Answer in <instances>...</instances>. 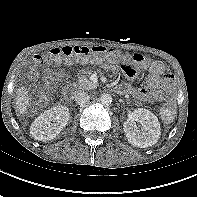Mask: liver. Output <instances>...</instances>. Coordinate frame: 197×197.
<instances>
[{"label":"liver","mask_w":197,"mask_h":197,"mask_svg":"<svg viewBox=\"0 0 197 197\" xmlns=\"http://www.w3.org/2000/svg\"><path fill=\"white\" fill-rule=\"evenodd\" d=\"M16 94V111L17 115L20 116L26 113L30 98L25 86L19 87L16 91Z\"/></svg>","instance_id":"obj_1"}]
</instances>
